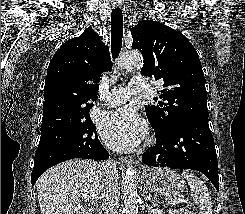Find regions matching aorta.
Here are the masks:
<instances>
[{
  "label": "aorta",
  "mask_w": 245,
  "mask_h": 214,
  "mask_svg": "<svg viewBox=\"0 0 245 214\" xmlns=\"http://www.w3.org/2000/svg\"><path fill=\"white\" fill-rule=\"evenodd\" d=\"M143 65V58L137 51H131L124 53L119 61L118 66L121 69H134L141 68ZM136 169L131 167L127 169L123 176L122 181V193L124 199V211L126 214H137L138 213V201L139 196L136 187Z\"/></svg>",
  "instance_id": "1"
}]
</instances>
